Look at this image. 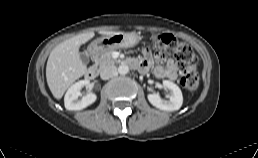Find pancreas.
Returning <instances> with one entry per match:
<instances>
[{
	"label": "pancreas",
	"mask_w": 258,
	"mask_h": 158,
	"mask_svg": "<svg viewBox=\"0 0 258 158\" xmlns=\"http://www.w3.org/2000/svg\"><path fill=\"white\" fill-rule=\"evenodd\" d=\"M114 49L108 50L104 52L96 61V65H98L100 68H104L107 66L114 65L118 61L116 59L112 58V52Z\"/></svg>",
	"instance_id": "obj_1"
}]
</instances>
